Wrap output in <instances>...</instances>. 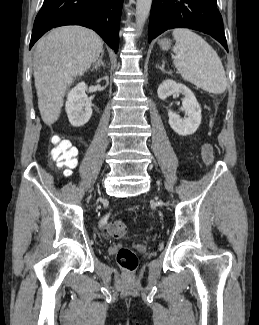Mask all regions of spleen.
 <instances>
[{"label":"spleen","mask_w":259,"mask_h":325,"mask_svg":"<svg viewBox=\"0 0 259 325\" xmlns=\"http://www.w3.org/2000/svg\"><path fill=\"white\" fill-rule=\"evenodd\" d=\"M172 35L176 41L173 64L182 78L209 93H223L227 79L217 52L189 29H174Z\"/></svg>","instance_id":"obj_1"}]
</instances>
